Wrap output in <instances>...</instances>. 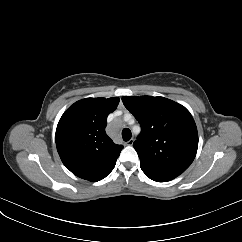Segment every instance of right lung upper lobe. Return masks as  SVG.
Wrapping results in <instances>:
<instances>
[{"instance_id": "right-lung-upper-lobe-1", "label": "right lung upper lobe", "mask_w": 242, "mask_h": 242, "mask_svg": "<svg viewBox=\"0 0 242 242\" xmlns=\"http://www.w3.org/2000/svg\"><path fill=\"white\" fill-rule=\"evenodd\" d=\"M119 98H85L70 106L59 120L56 146L63 164L76 176L99 181L114 168L122 145L105 132L107 116Z\"/></svg>"}]
</instances>
